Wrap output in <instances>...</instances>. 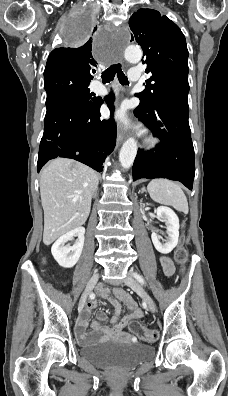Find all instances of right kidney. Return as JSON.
<instances>
[{"instance_id": "1", "label": "right kidney", "mask_w": 228, "mask_h": 396, "mask_svg": "<svg viewBox=\"0 0 228 396\" xmlns=\"http://www.w3.org/2000/svg\"><path fill=\"white\" fill-rule=\"evenodd\" d=\"M77 236L78 239L73 246L66 243ZM85 239V228H76L62 235L52 246L51 253L57 263L63 268H72L79 260Z\"/></svg>"}]
</instances>
